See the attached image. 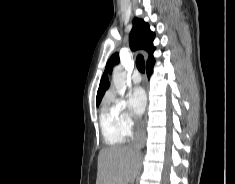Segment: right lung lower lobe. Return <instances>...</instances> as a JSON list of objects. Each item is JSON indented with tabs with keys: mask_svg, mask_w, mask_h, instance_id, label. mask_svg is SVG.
Listing matches in <instances>:
<instances>
[{
	"mask_svg": "<svg viewBox=\"0 0 235 184\" xmlns=\"http://www.w3.org/2000/svg\"><path fill=\"white\" fill-rule=\"evenodd\" d=\"M153 65H154V63H152V64H150V65H148V66H146V71H147V75H148V77H150V75L152 74V68H153Z\"/></svg>",
	"mask_w": 235,
	"mask_h": 184,
	"instance_id": "obj_1",
	"label": "right lung lower lobe"
}]
</instances>
